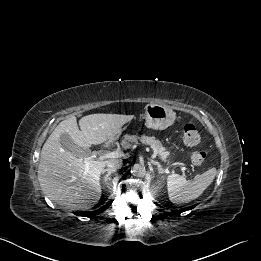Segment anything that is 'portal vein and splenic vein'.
<instances>
[{
  "label": "portal vein and splenic vein",
  "instance_id": "18ae733b",
  "mask_svg": "<svg viewBox=\"0 0 261 261\" xmlns=\"http://www.w3.org/2000/svg\"><path fill=\"white\" fill-rule=\"evenodd\" d=\"M123 155V151H119V150H116V151H112V152H108L104 155H101L99 157L100 160H104V159H109V158H119ZM156 155V154H155ZM162 161L166 162L165 158H161ZM89 160V159H88ZM88 160H85L84 163H85V173H88L90 171V163ZM174 165H178V163H174ZM181 170L183 171V173H185L186 171V168L181 166L180 167Z\"/></svg>",
  "mask_w": 261,
  "mask_h": 261
}]
</instances>
